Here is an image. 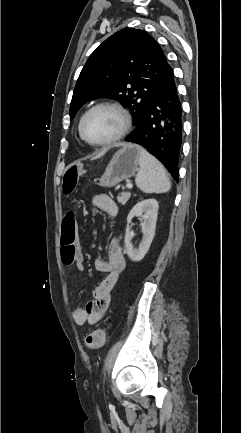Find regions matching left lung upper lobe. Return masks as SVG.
I'll return each instance as SVG.
<instances>
[{"label":"left lung upper lobe","instance_id":"obj_1","mask_svg":"<svg viewBox=\"0 0 241 433\" xmlns=\"http://www.w3.org/2000/svg\"><path fill=\"white\" fill-rule=\"evenodd\" d=\"M169 68L152 36L133 28L116 32L97 47L83 67L74 89L70 118L91 99L113 97L130 109L137 126Z\"/></svg>","mask_w":241,"mask_h":433}]
</instances>
